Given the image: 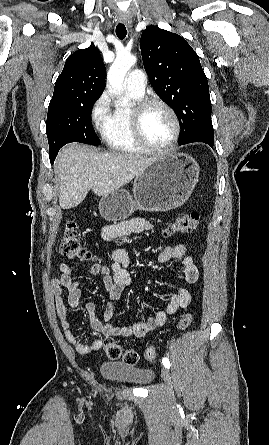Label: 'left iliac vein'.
I'll return each mask as SVG.
<instances>
[{"label":"left iliac vein","mask_w":269,"mask_h":445,"mask_svg":"<svg viewBox=\"0 0 269 445\" xmlns=\"http://www.w3.org/2000/svg\"><path fill=\"white\" fill-rule=\"evenodd\" d=\"M161 377H162V379L165 381V383L167 385L168 393L171 395L172 394V390H171V375H170L169 370L166 367L162 368Z\"/></svg>","instance_id":"left-iliac-vein-1"}]
</instances>
